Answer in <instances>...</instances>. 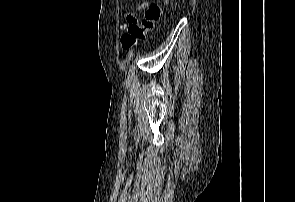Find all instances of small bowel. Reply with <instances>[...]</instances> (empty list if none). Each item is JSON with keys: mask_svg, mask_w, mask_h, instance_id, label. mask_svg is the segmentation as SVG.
I'll use <instances>...</instances> for the list:
<instances>
[{"mask_svg": "<svg viewBox=\"0 0 295 202\" xmlns=\"http://www.w3.org/2000/svg\"><path fill=\"white\" fill-rule=\"evenodd\" d=\"M165 3L167 4V0H165ZM149 7V3L146 1H141L137 3L136 5L133 6V12H130L126 15V21L127 23H137L138 24V19L134 13V11H139V10H146Z\"/></svg>", "mask_w": 295, "mask_h": 202, "instance_id": "c3829d8e", "label": "small bowel"}]
</instances>
